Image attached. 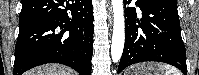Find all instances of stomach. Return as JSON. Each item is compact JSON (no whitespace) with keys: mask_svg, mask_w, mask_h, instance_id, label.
I'll use <instances>...</instances> for the list:
<instances>
[{"mask_svg":"<svg viewBox=\"0 0 199 75\" xmlns=\"http://www.w3.org/2000/svg\"><path fill=\"white\" fill-rule=\"evenodd\" d=\"M159 65L152 63H143L130 67L125 75H158Z\"/></svg>","mask_w":199,"mask_h":75,"instance_id":"stomach-1","label":"stomach"}]
</instances>
